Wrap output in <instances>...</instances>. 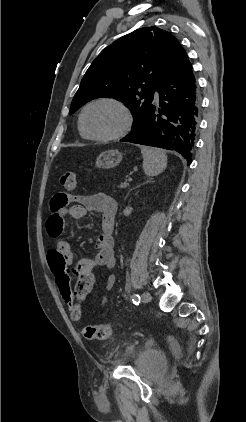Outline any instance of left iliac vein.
I'll return each instance as SVG.
<instances>
[{
	"label": "left iliac vein",
	"mask_w": 246,
	"mask_h": 422,
	"mask_svg": "<svg viewBox=\"0 0 246 422\" xmlns=\"http://www.w3.org/2000/svg\"><path fill=\"white\" fill-rule=\"evenodd\" d=\"M152 300L151 294L147 291L143 292L142 294V301L148 303Z\"/></svg>",
	"instance_id": "4c4485c4"
}]
</instances>
